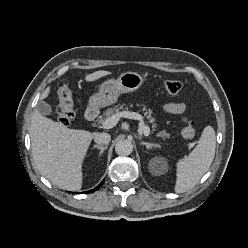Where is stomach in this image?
Returning <instances> with one entry per match:
<instances>
[{"label":"stomach","mask_w":248,"mask_h":248,"mask_svg":"<svg viewBox=\"0 0 248 248\" xmlns=\"http://www.w3.org/2000/svg\"><path fill=\"white\" fill-rule=\"evenodd\" d=\"M145 77L136 72H124L117 79H109L100 85L99 91L89 99L93 109L103 108L117 102L122 93L133 92L145 82Z\"/></svg>","instance_id":"1"}]
</instances>
